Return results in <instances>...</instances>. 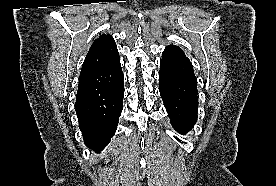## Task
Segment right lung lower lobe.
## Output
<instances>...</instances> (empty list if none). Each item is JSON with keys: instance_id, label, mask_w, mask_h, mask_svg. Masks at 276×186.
Returning <instances> with one entry per match:
<instances>
[{"instance_id": "98d812e1", "label": "right lung lower lobe", "mask_w": 276, "mask_h": 186, "mask_svg": "<svg viewBox=\"0 0 276 186\" xmlns=\"http://www.w3.org/2000/svg\"><path fill=\"white\" fill-rule=\"evenodd\" d=\"M123 73L110 82L78 87L76 114L84 143L96 152L114 136L123 108Z\"/></svg>"}]
</instances>
